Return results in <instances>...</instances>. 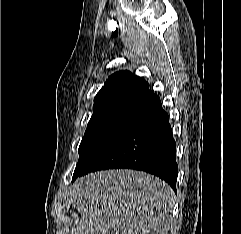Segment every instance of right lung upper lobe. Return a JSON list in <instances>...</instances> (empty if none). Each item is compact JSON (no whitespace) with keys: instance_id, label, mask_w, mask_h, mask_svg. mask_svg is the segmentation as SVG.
<instances>
[{"instance_id":"obj_1","label":"right lung upper lobe","mask_w":241,"mask_h":234,"mask_svg":"<svg viewBox=\"0 0 241 234\" xmlns=\"http://www.w3.org/2000/svg\"><path fill=\"white\" fill-rule=\"evenodd\" d=\"M154 94L148 82L134 76L129 71H119L111 75L94 99V106L108 104L139 105ZM93 106V107H94Z\"/></svg>"}]
</instances>
